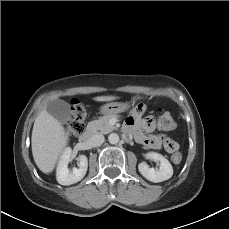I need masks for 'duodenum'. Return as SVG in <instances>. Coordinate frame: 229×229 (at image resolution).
<instances>
[{"label": "duodenum", "mask_w": 229, "mask_h": 229, "mask_svg": "<svg viewBox=\"0 0 229 229\" xmlns=\"http://www.w3.org/2000/svg\"><path fill=\"white\" fill-rule=\"evenodd\" d=\"M94 133H95L94 128H89L82 136H80L79 139L83 143L88 142Z\"/></svg>", "instance_id": "obj_1"}]
</instances>
